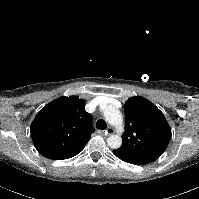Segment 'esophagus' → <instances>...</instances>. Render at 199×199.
<instances>
[{"label": "esophagus", "mask_w": 199, "mask_h": 199, "mask_svg": "<svg viewBox=\"0 0 199 199\" xmlns=\"http://www.w3.org/2000/svg\"><path fill=\"white\" fill-rule=\"evenodd\" d=\"M105 135H111L114 133V129L112 127H108L105 131H104Z\"/></svg>", "instance_id": "1"}]
</instances>
